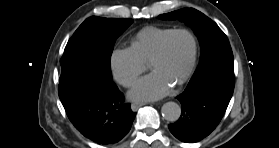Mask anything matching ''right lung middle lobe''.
Here are the masks:
<instances>
[{
  "label": "right lung middle lobe",
  "instance_id": "right-lung-middle-lobe-1",
  "mask_svg": "<svg viewBox=\"0 0 279 148\" xmlns=\"http://www.w3.org/2000/svg\"><path fill=\"white\" fill-rule=\"evenodd\" d=\"M132 23V19L90 17L75 31L65 49L76 46L89 49L102 74L112 80L110 59L115 41Z\"/></svg>",
  "mask_w": 279,
  "mask_h": 148
}]
</instances>
